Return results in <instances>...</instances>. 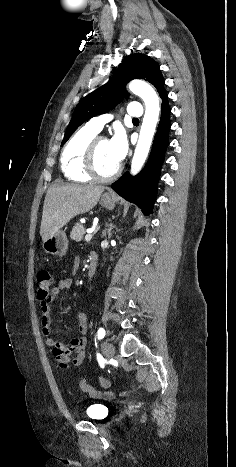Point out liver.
I'll list each match as a JSON object with an SVG mask.
<instances>
[{"label":"liver","mask_w":236,"mask_h":467,"mask_svg":"<svg viewBox=\"0 0 236 467\" xmlns=\"http://www.w3.org/2000/svg\"><path fill=\"white\" fill-rule=\"evenodd\" d=\"M103 186L59 184L47 191L42 213V241L58 232L72 218L90 211L99 201Z\"/></svg>","instance_id":"obj_1"}]
</instances>
